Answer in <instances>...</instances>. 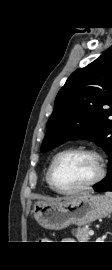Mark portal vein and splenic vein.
<instances>
[{
  "mask_svg": "<svg viewBox=\"0 0 112 270\" xmlns=\"http://www.w3.org/2000/svg\"><path fill=\"white\" fill-rule=\"evenodd\" d=\"M89 235H94V231L93 230H89Z\"/></svg>",
  "mask_w": 112,
  "mask_h": 270,
  "instance_id": "obj_1",
  "label": "portal vein and splenic vein"
}]
</instances>
